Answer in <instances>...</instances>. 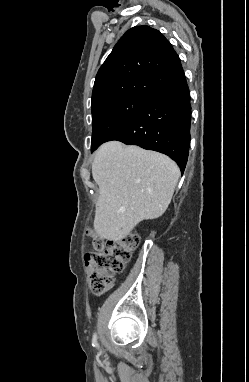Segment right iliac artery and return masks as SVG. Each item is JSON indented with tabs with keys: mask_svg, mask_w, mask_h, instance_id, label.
I'll list each match as a JSON object with an SVG mask.
<instances>
[{
	"mask_svg": "<svg viewBox=\"0 0 249 382\" xmlns=\"http://www.w3.org/2000/svg\"><path fill=\"white\" fill-rule=\"evenodd\" d=\"M97 345V336L94 334L93 336V346Z\"/></svg>",
	"mask_w": 249,
	"mask_h": 382,
	"instance_id": "obj_1",
	"label": "right iliac artery"
}]
</instances>
